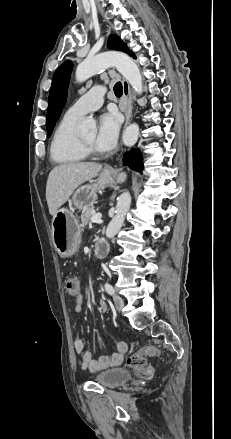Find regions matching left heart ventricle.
I'll list each match as a JSON object with an SVG mask.
<instances>
[{
	"instance_id": "b2bd125f",
	"label": "left heart ventricle",
	"mask_w": 231,
	"mask_h": 439,
	"mask_svg": "<svg viewBox=\"0 0 231 439\" xmlns=\"http://www.w3.org/2000/svg\"><path fill=\"white\" fill-rule=\"evenodd\" d=\"M82 138H83L86 142H88L89 144H91V145L94 146V142H95V138H96L94 133H90V134L83 135Z\"/></svg>"
}]
</instances>
